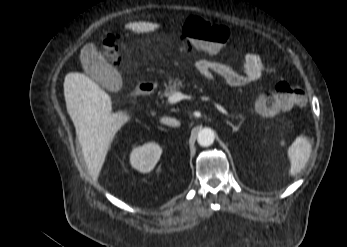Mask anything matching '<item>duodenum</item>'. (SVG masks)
I'll list each match as a JSON object with an SVG mask.
<instances>
[{
  "label": "duodenum",
  "mask_w": 347,
  "mask_h": 247,
  "mask_svg": "<svg viewBox=\"0 0 347 247\" xmlns=\"http://www.w3.org/2000/svg\"><path fill=\"white\" fill-rule=\"evenodd\" d=\"M155 89V84L152 82H143L140 83L136 89L135 93L138 96H148L150 95Z\"/></svg>",
  "instance_id": "obj_1"
}]
</instances>
